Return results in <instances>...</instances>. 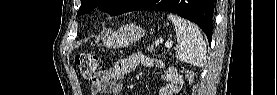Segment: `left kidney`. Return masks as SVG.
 Listing matches in <instances>:
<instances>
[{"instance_id": "5707ae66", "label": "left kidney", "mask_w": 277, "mask_h": 95, "mask_svg": "<svg viewBox=\"0 0 277 95\" xmlns=\"http://www.w3.org/2000/svg\"><path fill=\"white\" fill-rule=\"evenodd\" d=\"M181 83H182L181 79H179L178 76H175V78H173V82L170 87V91L171 92L175 91V89L177 88V85L181 84Z\"/></svg>"}]
</instances>
